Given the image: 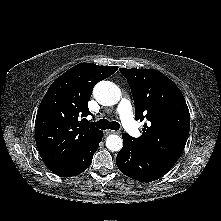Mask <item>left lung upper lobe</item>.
I'll return each mask as SVG.
<instances>
[{
	"mask_svg": "<svg viewBox=\"0 0 221 221\" xmlns=\"http://www.w3.org/2000/svg\"><path fill=\"white\" fill-rule=\"evenodd\" d=\"M135 102V119H147L143 134L133 143L151 155L174 165L190 130V114L180 89L157 70L120 68Z\"/></svg>",
	"mask_w": 221,
	"mask_h": 221,
	"instance_id": "left-lung-upper-lobe-1",
	"label": "left lung upper lobe"
}]
</instances>
